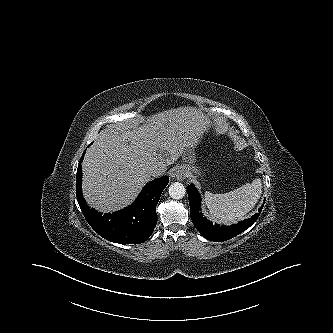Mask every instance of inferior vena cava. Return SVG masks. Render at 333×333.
<instances>
[{"mask_svg":"<svg viewBox=\"0 0 333 333\" xmlns=\"http://www.w3.org/2000/svg\"><path fill=\"white\" fill-rule=\"evenodd\" d=\"M149 174L151 176H160L163 174V170L161 168H159L158 166H152L149 168Z\"/></svg>","mask_w":333,"mask_h":333,"instance_id":"1","label":"inferior vena cava"}]
</instances>
